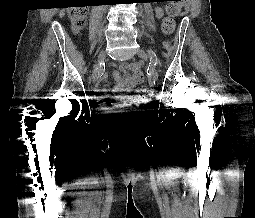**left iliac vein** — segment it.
<instances>
[{
  "mask_svg": "<svg viewBox=\"0 0 255 218\" xmlns=\"http://www.w3.org/2000/svg\"><path fill=\"white\" fill-rule=\"evenodd\" d=\"M137 55L140 57V58H142V59H144V60H148V55H147V53L144 51V50H139L138 52H137ZM157 79H158V71H157V69L155 68V66H151V76H150V78H149V81H150V83L151 84H155V82L157 81Z\"/></svg>",
  "mask_w": 255,
  "mask_h": 218,
  "instance_id": "obj_1",
  "label": "left iliac vein"
}]
</instances>
